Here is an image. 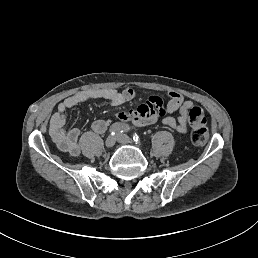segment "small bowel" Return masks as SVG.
Wrapping results in <instances>:
<instances>
[{"label": "small bowel", "instance_id": "obj_1", "mask_svg": "<svg viewBox=\"0 0 258 258\" xmlns=\"http://www.w3.org/2000/svg\"><path fill=\"white\" fill-rule=\"evenodd\" d=\"M135 92L131 88H125L121 91L110 88H93L79 91L61 101L55 113L52 115L49 123V134L57 148L62 152L69 153L71 156H78L81 152L79 146L80 130L73 127L65 129L67 115L66 111L76 105L104 99L110 102L112 106H121L131 101ZM169 100L164 104L162 98L152 95L146 103L138 106L134 110L120 111L116 117L121 122H132L135 126L143 127L156 123L161 119L162 123L182 134L187 131L188 125L193 127L204 125L206 118L203 110L195 106L191 100H185L183 95L175 92H168ZM179 112L177 118L171 114ZM109 127L105 120H96L91 128L95 133L102 134Z\"/></svg>", "mask_w": 258, "mask_h": 258}]
</instances>
